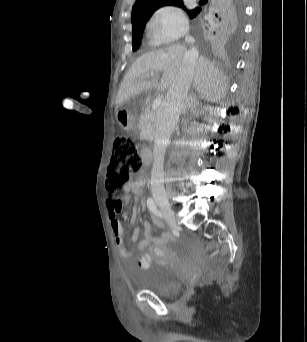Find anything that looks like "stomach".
<instances>
[{
	"instance_id": "0dacf381",
	"label": "stomach",
	"mask_w": 307,
	"mask_h": 342,
	"mask_svg": "<svg viewBox=\"0 0 307 342\" xmlns=\"http://www.w3.org/2000/svg\"><path fill=\"white\" fill-rule=\"evenodd\" d=\"M117 120L120 124V126L125 130H130L133 127V118L125 110H119L117 112Z\"/></svg>"
}]
</instances>
